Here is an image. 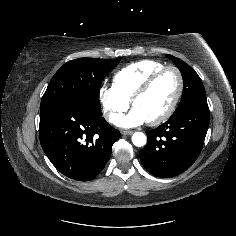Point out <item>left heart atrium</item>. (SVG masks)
Returning a JSON list of instances; mask_svg holds the SVG:
<instances>
[{"instance_id": "39dd6f15", "label": "left heart atrium", "mask_w": 236, "mask_h": 236, "mask_svg": "<svg viewBox=\"0 0 236 236\" xmlns=\"http://www.w3.org/2000/svg\"><path fill=\"white\" fill-rule=\"evenodd\" d=\"M114 122L120 127L128 128L141 125L147 122V120L144 115L134 107L127 115L117 117Z\"/></svg>"}]
</instances>
